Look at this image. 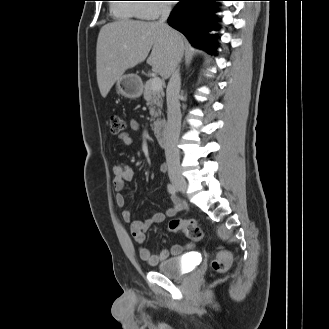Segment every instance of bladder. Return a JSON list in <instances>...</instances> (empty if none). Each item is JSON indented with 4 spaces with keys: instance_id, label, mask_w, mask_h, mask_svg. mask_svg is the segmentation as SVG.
<instances>
[{
    "instance_id": "bladder-1",
    "label": "bladder",
    "mask_w": 329,
    "mask_h": 329,
    "mask_svg": "<svg viewBox=\"0 0 329 329\" xmlns=\"http://www.w3.org/2000/svg\"><path fill=\"white\" fill-rule=\"evenodd\" d=\"M156 271L172 278L182 277L186 271L184 268V256L168 257L157 263Z\"/></svg>"
}]
</instances>
